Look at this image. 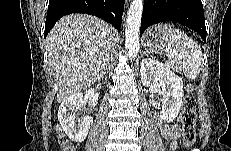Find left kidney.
Returning <instances> with one entry per match:
<instances>
[{
  "label": "left kidney",
  "mask_w": 231,
  "mask_h": 151,
  "mask_svg": "<svg viewBox=\"0 0 231 151\" xmlns=\"http://www.w3.org/2000/svg\"><path fill=\"white\" fill-rule=\"evenodd\" d=\"M140 73L143 85L152 86L159 83L163 92L160 119L167 123L173 122L183 105L182 79L166 65L152 58L142 60Z\"/></svg>",
  "instance_id": "obj_1"
}]
</instances>
